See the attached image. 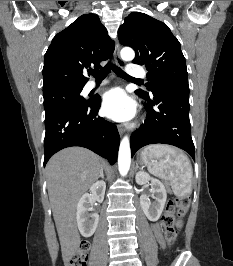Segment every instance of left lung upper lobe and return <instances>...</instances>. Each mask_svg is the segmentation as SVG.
Wrapping results in <instances>:
<instances>
[{
    "instance_id": "1",
    "label": "left lung upper lobe",
    "mask_w": 233,
    "mask_h": 266,
    "mask_svg": "<svg viewBox=\"0 0 233 266\" xmlns=\"http://www.w3.org/2000/svg\"><path fill=\"white\" fill-rule=\"evenodd\" d=\"M121 44L136 52L133 63L146 67L148 90L154 92L174 83L188 84L180 43L166 24L143 13H130L118 30ZM136 92L147 95L142 90Z\"/></svg>"
}]
</instances>
